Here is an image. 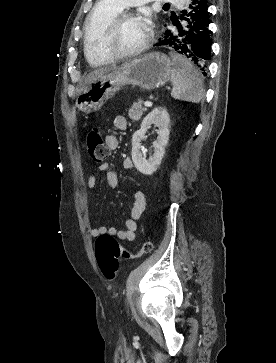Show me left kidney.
<instances>
[{
  "label": "left kidney",
  "instance_id": "5707ae66",
  "mask_svg": "<svg viewBox=\"0 0 276 363\" xmlns=\"http://www.w3.org/2000/svg\"><path fill=\"white\" fill-rule=\"evenodd\" d=\"M158 127V137L153 142L154 154L146 159L141 152V141L144 139L147 129L152 125ZM170 117L163 107L153 109L142 121L141 127L132 136V160L136 169L144 175H152L160 166L165 153L170 134Z\"/></svg>",
  "mask_w": 276,
  "mask_h": 363
}]
</instances>
